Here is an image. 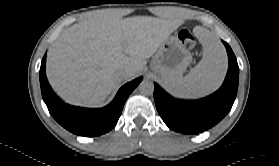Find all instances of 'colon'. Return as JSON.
<instances>
[{
  "label": "colon",
  "instance_id": "1",
  "mask_svg": "<svg viewBox=\"0 0 279 166\" xmlns=\"http://www.w3.org/2000/svg\"><path fill=\"white\" fill-rule=\"evenodd\" d=\"M178 38L181 44L187 49H191L195 45V37L189 29H182L178 34Z\"/></svg>",
  "mask_w": 279,
  "mask_h": 166
}]
</instances>
